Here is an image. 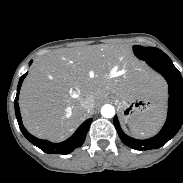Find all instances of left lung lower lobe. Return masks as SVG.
Here are the masks:
<instances>
[{
	"instance_id": "0a47b994",
	"label": "left lung lower lobe",
	"mask_w": 183,
	"mask_h": 183,
	"mask_svg": "<svg viewBox=\"0 0 183 183\" xmlns=\"http://www.w3.org/2000/svg\"><path fill=\"white\" fill-rule=\"evenodd\" d=\"M149 66L159 72L168 82L169 107L167 120L162 130L154 137L146 140H137L128 137L120 128L117 116L113 123L119 137L124 144L136 150L158 149L173 138L183 124V79L180 72L166 56L146 61Z\"/></svg>"
}]
</instances>
